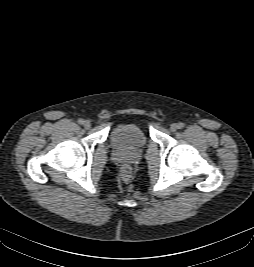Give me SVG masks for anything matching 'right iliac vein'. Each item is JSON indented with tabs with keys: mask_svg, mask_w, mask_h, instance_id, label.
<instances>
[{
	"mask_svg": "<svg viewBox=\"0 0 254 267\" xmlns=\"http://www.w3.org/2000/svg\"><path fill=\"white\" fill-rule=\"evenodd\" d=\"M83 125L86 129H89L91 127V122L89 120H85Z\"/></svg>",
	"mask_w": 254,
	"mask_h": 267,
	"instance_id": "right-iliac-vein-1",
	"label": "right iliac vein"
}]
</instances>
